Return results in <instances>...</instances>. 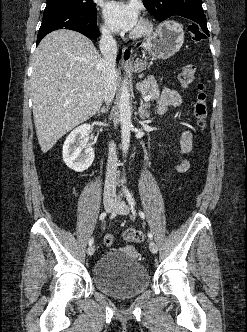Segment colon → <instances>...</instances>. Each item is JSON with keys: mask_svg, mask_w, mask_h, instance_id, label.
<instances>
[{"mask_svg": "<svg viewBox=\"0 0 247 332\" xmlns=\"http://www.w3.org/2000/svg\"><path fill=\"white\" fill-rule=\"evenodd\" d=\"M188 32L195 42H201L206 38L205 32L196 24L189 25ZM194 76V66L188 65L184 67L179 74V82L181 86L184 88L189 86L193 82ZM197 90L198 92L194 103L193 112L198 125L203 128L206 125V118L208 114L207 94L205 92V86L201 82L197 84ZM122 237L124 240L131 242H142L145 239L144 233L142 231L133 228L124 230ZM104 243L107 246H112L114 243V237L110 234H107L104 237Z\"/></svg>", "mask_w": 247, "mask_h": 332, "instance_id": "obj_1", "label": "colon"}]
</instances>
